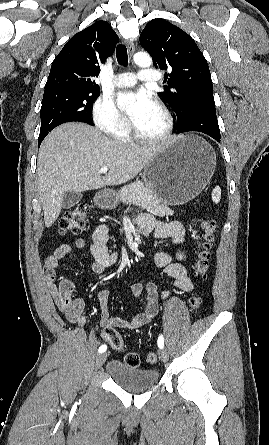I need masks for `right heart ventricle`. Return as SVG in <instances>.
<instances>
[{"mask_svg": "<svg viewBox=\"0 0 269 445\" xmlns=\"http://www.w3.org/2000/svg\"><path fill=\"white\" fill-rule=\"evenodd\" d=\"M115 137L121 142H129L130 141V135H129L128 131H126L120 135H117Z\"/></svg>", "mask_w": 269, "mask_h": 445, "instance_id": "right-heart-ventricle-1", "label": "right heart ventricle"}]
</instances>
